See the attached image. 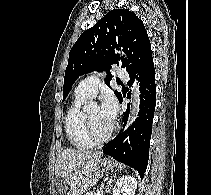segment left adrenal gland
I'll return each mask as SVG.
<instances>
[{"label":"left adrenal gland","instance_id":"obj_1","mask_svg":"<svg viewBox=\"0 0 211 195\" xmlns=\"http://www.w3.org/2000/svg\"><path fill=\"white\" fill-rule=\"evenodd\" d=\"M115 175H113L107 182V186H106V193H109L110 192V186H111V183L115 180Z\"/></svg>","mask_w":211,"mask_h":195}]
</instances>
